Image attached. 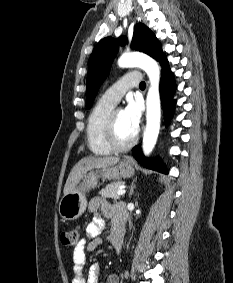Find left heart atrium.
Returning a JSON list of instances; mask_svg holds the SVG:
<instances>
[{
  "instance_id": "obj_1",
  "label": "left heart atrium",
  "mask_w": 233,
  "mask_h": 283,
  "mask_svg": "<svg viewBox=\"0 0 233 283\" xmlns=\"http://www.w3.org/2000/svg\"><path fill=\"white\" fill-rule=\"evenodd\" d=\"M125 118L132 129L136 132L139 128V124L142 116V107L137 99L130 98L127 101V105L123 110Z\"/></svg>"
}]
</instances>
